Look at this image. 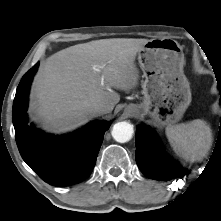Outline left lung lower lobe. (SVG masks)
Returning <instances> with one entry per match:
<instances>
[{"instance_id": "1", "label": "left lung lower lobe", "mask_w": 221, "mask_h": 221, "mask_svg": "<svg viewBox=\"0 0 221 221\" xmlns=\"http://www.w3.org/2000/svg\"><path fill=\"white\" fill-rule=\"evenodd\" d=\"M218 88L221 104V88ZM135 140L137 148L136 162L146 177L167 181L175 178H183L190 173V171L182 168L163 153L156 134L150 127L139 125ZM216 143H221V135L219 134Z\"/></svg>"}]
</instances>
